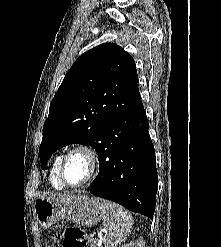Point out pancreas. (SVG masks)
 <instances>
[{
    "mask_svg": "<svg viewBox=\"0 0 221 247\" xmlns=\"http://www.w3.org/2000/svg\"><path fill=\"white\" fill-rule=\"evenodd\" d=\"M90 242H91V240H90ZM90 247H95L94 245H91Z\"/></svg>",
    "mask_w": 221,
    "mask_h": 247,
    "instance_id": "1",
    "label": "pancreas"
}]
</instances>
